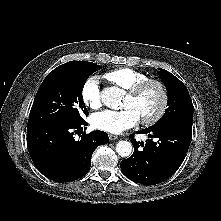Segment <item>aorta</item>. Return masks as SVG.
<instances>
[{
  "instance_id": "762f6f07",
  "label": "aorta",
  "mask_w": 221,
  "mask_h": 221,
  "mask_svg": "<svg viewBox=\"0 0 221 221\" xmlns=\"http://www.w3.org/2000/svg\"><path fill=\"white\" fill-rule=\"evenodd\" d=\"M123 92L116 87H109L103 91L102 102L111 109H119ZM132 144L128 141H119L116 145V152L121 157H128L132 153Z\"/></svg>"
}]
</instances>
